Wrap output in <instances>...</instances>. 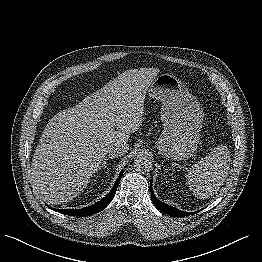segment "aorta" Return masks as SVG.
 I'll list each match as a JSON object with an SVG mask.
<instances>
[{
  "label": "aorta",
  "instance_id": "762f6f07",
  "mask_svg": "<svg viewBox=\"0 0 262 262\" xmlns=\"http://www.w3.org/2000/svg\"><path fill=\"white\" fill-rule=\"evenodd\" d=\"M133 166L138 172H148L152 169V162L146 155L139 154L134 159Z\"/></svg>",
  "mask_w": 262,
  "mask_h": 262
}]
</instances>
